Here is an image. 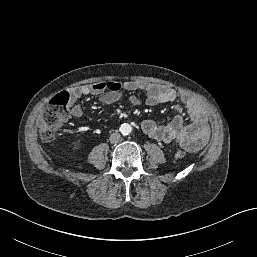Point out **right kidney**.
I'll use <instances>...</instances> for the list:
<instances>
[{"instance_id":"right-kidney-1","label":"right kidney","mask_w":257,"mask_h":257,"mask_svg":"<svg viewBox=\"0 0 257 257\" xmlns=\"http://www.w3.org/2000/svg\"><path fill=\"white\" fill-rule=\"evenodd\" d=\"M78 148H79V145H75V146H74V149H78Z\"/></svg>"}]
</instances>
